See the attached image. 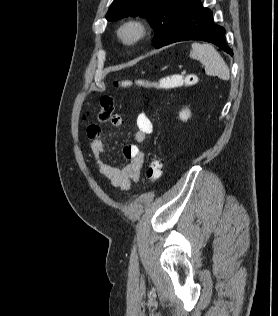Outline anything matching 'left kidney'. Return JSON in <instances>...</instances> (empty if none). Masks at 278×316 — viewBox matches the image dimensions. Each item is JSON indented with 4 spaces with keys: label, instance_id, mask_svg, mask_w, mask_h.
Here are the masks:
<instances>
[{
    "label": "left kidney",
    "instance_id": "obj_1",
    "mask_svg": "<svg viewBox=\"0 0 278 316\" xmlns=\"http://www.w3.org/2000/svg\"><path fill=\"white\" fill-rule=\"evenodd\" d=\"M191 116V112L189 109H183L180 113H179V118L182 121H187Z\"/></svg>",
    "mask_w": 278,
    "mask_h": 316
}]
</instances>
